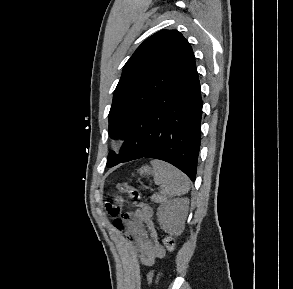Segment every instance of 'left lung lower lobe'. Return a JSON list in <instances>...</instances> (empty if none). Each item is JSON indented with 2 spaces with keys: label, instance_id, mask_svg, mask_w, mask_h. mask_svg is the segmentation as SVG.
<instances>
[{
  "label": "left lung lower lobe",
  "instance_id": "1",
  "mask_svg": "<svg viewBox=\"0 0 293 289\" xmlns=\"http://www.w3.org/2000/svg\"><path fill=\"white\" fill-rule=\"evenodd\" d=\"M201 116L202 99L195 64L134 122L124 138L123 162L144 157L160 159L195 181Z\"/></svg>",
  "mask_w": 293,
  "mask_h": 289
}]
</instances>
